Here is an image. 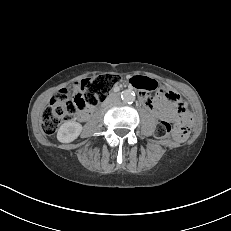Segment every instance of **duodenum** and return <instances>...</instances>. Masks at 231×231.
Wrapping results in <instances>:
<instances>
[{
	"label": "duodenum",
	"mask_w": 231,
	"mask_h": 231,
	"mask_svg": "<svg viewBox=\"0 0 231 231\" xmlns=\"http://www.w3.org/2000/svg\"><path fill=\"white\" fill-rule=\"evenodd\" d=\"M142 101H143L145 104H148V99L142 97Z\"/></svg>",
	"instance_id": "obj_1"
}]
</instances>
